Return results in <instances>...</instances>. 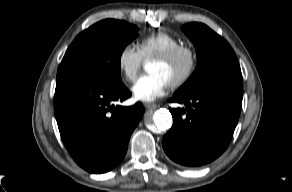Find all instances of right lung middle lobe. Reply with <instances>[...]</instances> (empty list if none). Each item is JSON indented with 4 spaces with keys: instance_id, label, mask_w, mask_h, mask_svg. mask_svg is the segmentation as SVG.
Returning a JSON list of instances; mask_svg holds the SVG:
<instances>
[{
    "instance_id": "1",
    "label": "right lung middle lobe",
    "mask_w": 292,
    "mask_h": 192,
    "mask_svg": "<svg viewBox=\"0 0 292 192\" xmlns=\"http://www.w3.org/2000/svg\"><path fill=\"white\" fill-rule=\"evenodd\" d=\"M138 28L125 21L106 19L80 33L59 65L57 78L71 76L117 88L123 85L120 57Z\"/></svg>"
}]
</instances>
